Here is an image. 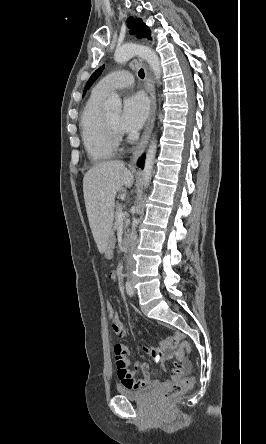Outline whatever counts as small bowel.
I'll return each mask as SVG.
<instances>
[{"mask_svg": "<svg viewBox=\"0 0 266 444\" xmlns=\"http://www.w3.org/2000/svg\"><path fill=\"white\" fill-rule=\"evenodd\" d=\"M111 279H115V274H110ZM111 327L113 333L118 337H125L127 332L126 329L119 317L117 315L113 319H111ZM179 340V334H175L169 338L164 339L158 347H143V352L151 356L156 361H164L167 359H171L173 356L172 349L175 345V343ZM114 353L116 357L117 362V368H118V377L121 382V386L129 389H139L142 387H145L147 385H157L160 383L159 380L155 379L152 380L148 365L145 362H139L136 364L135 370H131L129 368V363L126 358L127 350L123 345H116L114 347ZM189 368L187 366L183 367L178 363L174 364V367L172 369L171 376L168 381H166V384H169L171 382L176 381L179 379V377L186 371H188ZM137 371H140L142 373V377L139 379H135L134 375Z\"/></svg>", "mask_w": 266, "mask_h": 444, "instance_id": "1", "label": "small bowel"}]
</instances>
